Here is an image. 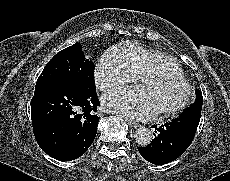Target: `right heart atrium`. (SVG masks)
Listing matches in <instances>:
<instances>
[{
	"mask_svg": "<svg viewBox=\"0 0 230 181\" xmlns=\"http://www.w3.org/2000/svg\"><path fill=\"white\" fill-rule=\"evenodd\" d=\"M131 78L127 73L118 71L112 64H109L107 57L100 61L95 68V82L101 90L119 88Z\"/></svg>",
	"mask_w": 230,
	"mask_h": 181,
	"instance_id": "obj_1",
	"label": "right heart atrium"
}]
</instances>
